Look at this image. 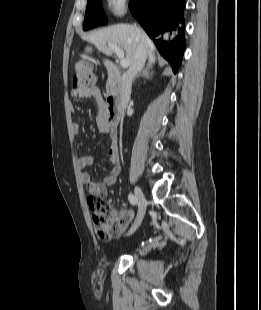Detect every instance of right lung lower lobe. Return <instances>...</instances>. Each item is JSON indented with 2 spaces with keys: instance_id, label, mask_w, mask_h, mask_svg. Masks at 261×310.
Segmentation results:
<instances>
[{
  "instance_id": "right-lung-lower-lobe-1",
  "label": "right lung lower lobe",
  "mask_w": 261,
  "mask_h": 310,
  "mask_svg": "<svg viewBox=\"0 0 261 310\" xmlns=\"http://www.w3.org/2000/svg\"><path fill=\"white\" fill-rule=\"evenodd\" d=\"M184 0H131V14L154 40L161 55L176 73L182 60L185 39Z\"/></svg>"
}]
</instances>
